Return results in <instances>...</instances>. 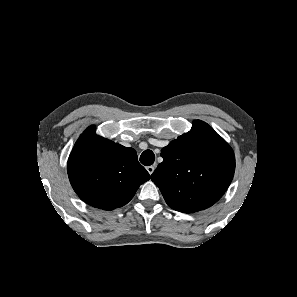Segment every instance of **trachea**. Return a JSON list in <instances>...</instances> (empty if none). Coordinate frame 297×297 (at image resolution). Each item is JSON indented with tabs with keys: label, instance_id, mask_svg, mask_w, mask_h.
Masks as SVG:
<instances>
[{
	"label": "trachea",
	"instance_id": "obj_1",
	"mask_svg": "<svg viewBox=\"0 0 297 297\" xmlns=\"http://www.w3.org/2000/svg\"><path fill=\"white\" fill-rule=\"evenodd\" d=\"M155 161V155L151 150H145L140 156V162L145 166H150Z\"/></svg>",
	"mask_w": 297,
	"mask_h": 297
}]
</instances>
